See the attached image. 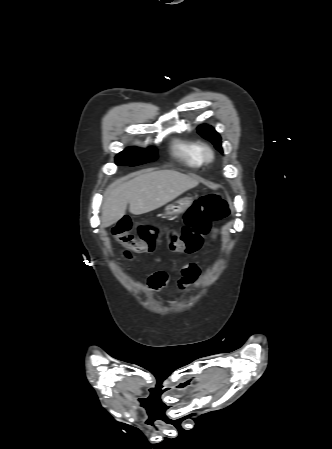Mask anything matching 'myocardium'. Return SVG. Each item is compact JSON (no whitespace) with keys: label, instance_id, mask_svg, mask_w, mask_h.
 Listing matches in <instances>:
<instances>
[{"label":"myocardium","instance_id":"obj_1","mask_svg":"<svg viewBox=\"0 0 332 449\" xmlns=\"http://www.w3.org/2000/svg\"><path fill=\"white\" fill-rule=\"evenodd\" d=\"M199 152L203 162H211L214 158V151L207 144H201Z\"/></svg>","mask_w":332,"mask_h":449}]
</instances>
